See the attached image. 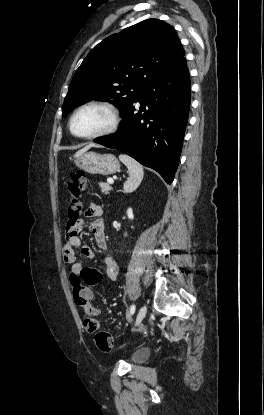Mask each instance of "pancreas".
I'll use <instances>...</instances> for the list:
<instances>
[{
	"mask_svg": "<svg viewBox=\"0 0 264 415\" xmlns=\"http://www.w3.org/2000/svg\"><path fill=\"white\" fill-rule=\"evenodd\" d=\"M99 186H100L101 192L105 194H107L112 189L111 186L105 182H100Z\"/></svg>",
	"mask_w": 264,
	"mask_h": 415,
	"instance_id": "cf45deb5",
	"label": "pancreas"
}]
</instances>
